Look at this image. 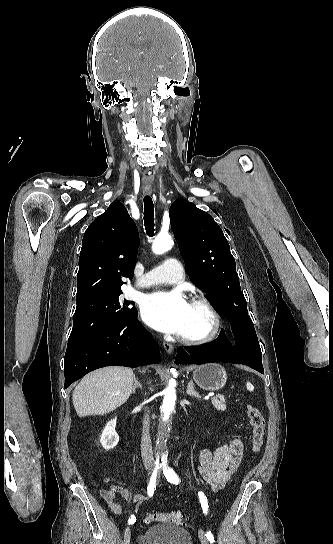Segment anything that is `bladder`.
<instances>
[{
	"instance_id": "bladder-1",
	"label": "bladder",
	"mask_w": 333,
	"mask_h": 544,
	"mask_svg": "<svg viewBox=\"0 0 333 544\" xmlns=\"http://www.w3.org/2000/svg\"><path fill=\"white\" fill-rule=\"evenodd\" d=\"M139 544H194V542L186 529L166 524L147 528L139 537Z\"/></svg>"
}]
</instances>
